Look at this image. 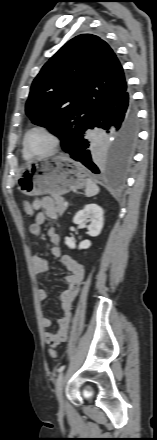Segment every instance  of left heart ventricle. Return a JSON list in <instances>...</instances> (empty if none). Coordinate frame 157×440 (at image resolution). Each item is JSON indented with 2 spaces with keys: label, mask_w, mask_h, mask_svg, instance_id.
I'll return each instance as SVG.
<instances>
[{
  "label": "left heart ventricle",
  "mask_w": 157,
  "mask_h": 440,
  "mask_svg": "<svg viewBox=\"0 0 157 440\" xmlns=\"http://www.w3.org/2000/svg\"><path fill=\"white\" fill-rule=\"evenodd\" d=\"M52 145L51 138L42 131H34L29 134L27 147L31 154L40 155L47 153Z\"/></svg>",
  "instance_id": "b2bd125f"
}]
</instances>
